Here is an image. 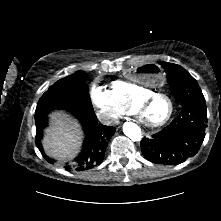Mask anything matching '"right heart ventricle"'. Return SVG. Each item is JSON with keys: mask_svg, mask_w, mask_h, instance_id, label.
<instances>
[{"mask_svg": "<svg viewBox=\"0 0 221 221\" xmlns=\"http://www.w3.org/2000/svg\"><path fill=\"white\" fill-rule=\"evenodd\" d=\"M110 92L128 112L134 111L135 106L140 100L154 93L151 89L136 82L125 80L112 82Z\"/></svg>", "mask_w": 221, "mask_h": 221, "instance_id": "e07e8e85", "label": "right heart ventricle"}]
</instances>
